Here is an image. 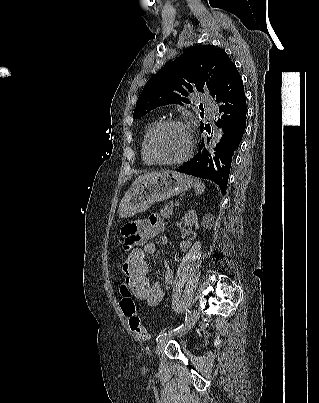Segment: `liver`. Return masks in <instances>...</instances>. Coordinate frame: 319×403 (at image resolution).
Listing matches in <instances>:
<instances>
[{"label": "liver", "mask_w": 319, "mask_h": 403, "mask_svg": "<svg viewBox=\"0 0 319 403\" xmlns=\"http://www.w3.org/2000/svg\"><path fill=\"white\" fill-rule=\"evenodd\" d=\"M154 175H156V173H148V174H144V175H142V176L137 177V178L135 179V181L133 182V186L139 184L140 182H142V181H144L145 179H147V178H149V177H151V176H154Z\"/></svg>", "instance_id": "liver-1"}]
</instances>
